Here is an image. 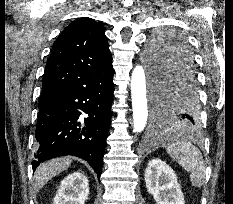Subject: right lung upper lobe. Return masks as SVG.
I'll return each instance as SVG.
<instances>
[{"label": "right lung upper lobe", "instance_id": "1", "mask_svg": "<svg viewBox=\"0 0 233 204\" xmlns=\"http://www.w3.org/2000/svg\"><path fill=\"white\" fill-rule=\"evenodd\" d=\"M112 66L103 27L91 18L70 23L59 35L45 67L41 97L69 88L91 73Z\"/></svg>", "mask_w": 233, "mask_h": 204}]
</instances>
